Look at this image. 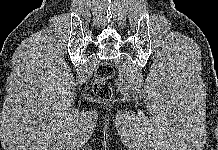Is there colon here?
<instances>
[{
    "instance_id": "5ec220e1",
    "label": "colon",
    "mask_w": 218,
    "mask_h": 150,
    "mask_svg": "<svg viewBox=\"0 0 218 150\" xmlns=\"http://www.w3.org/2000/svg\"><path fill=\"white\" fill-rule=\"evenodd\" d=\"M113 73L114 69L110 63L102 62L98 65L93 83V91L97 97L104 100L111 97L112 89L108 81L113 76Z\"/></svg>"
}]
</instances>
